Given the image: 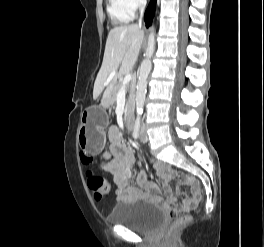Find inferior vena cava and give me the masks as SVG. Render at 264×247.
I'll return each mask as SVG.
<instances>
[{"label":"inferior vena cava","mask_w":264,"mask_h":247,"mask_svg":"<svg viewBox=\"0 0 264 247\" xmlns=\"http://www.w3.org/2000/svg\"><path fill=\"white\" fill-rule=\"evenodd\" d=\"M139 3H140V13H141V17L139 19V24H141L143 12H144L145 5H146V0H139Z\"/></svg>","instance_id":"602c4592"}]
</instances>
